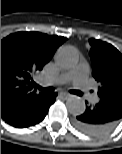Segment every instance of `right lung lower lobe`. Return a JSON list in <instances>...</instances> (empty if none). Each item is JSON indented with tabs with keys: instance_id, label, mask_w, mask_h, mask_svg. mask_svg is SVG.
Returning a JSON list of instances; mask_svg holds the SVG:
<instances>
[{
	"instance_id": "right-lung-lower-lobe-1",
	"label": "right lung lower lobe",
	"mask_w": 122,
	"mask_h": 154,
	"mask_svg": "<svg viewBox=\"0 0 122 154\" xmlns=\"http://www.w3.org/2000/svg\"><path fill=\"white\" fill-rule=\"evenodd\" d=\"M57 93L46 94L25 102L5 122L16 128H26L40 123L46 116L49 107L55 102Z\"/></svg>"
}]
</instances>
